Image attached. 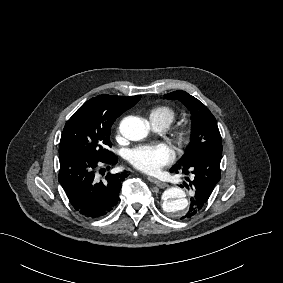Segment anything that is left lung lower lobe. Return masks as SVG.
<instances>
[{"instance_id": "0a47b994", "label": "left lung lower lobe", "mask_w": 283, "mask_h": 283, "mask_svg": "<svg viewBox=\"0 0 283 283\" xmlns=\"http://www.w3.org/2000/svg\"><path fill=\"white\" fill-rule=\"evenodd\" d=\"M222 152H209L201 155L191 164L183 166L176 164L170 169V172L183 171L185 174L191 175L189 185L193 190L191 204L185 217L190 218L198 213L207 203L215 185L219 182L220 162ZM184 218V217H182Z\"/></svg>"}]
</instances>
